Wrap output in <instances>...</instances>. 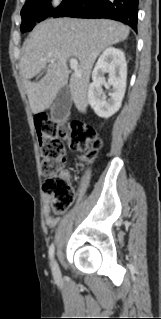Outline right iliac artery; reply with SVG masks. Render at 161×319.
<instances>
[{
	"label": "right iliac artery",
	"instance_id": "right-iliac-artery-1",
	"mask_svg": "<svg viewBox=\"0 0 161 319\" xmlns=\"http://www.w3.org/2000/svg\"><path fill=\"white\" fill-rule=\"evenodd\" d=\"M54 250H55V247H54V244L52 243L49 247V256L50 258H53L54 256Z\"/></svg>",
	"mask_w": 161,
	"mask_h": 319
}]
</instances>
